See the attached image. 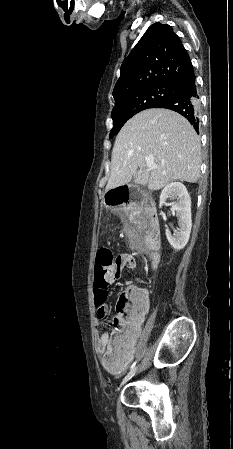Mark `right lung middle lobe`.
<instances>
[{"label":"right lung middle lobe","mask_w":233,"mask_h":449,"mask_svg":"<svg viewBox=\"0 0 233 449\" xmlns=\"http://www.w3.org/2000/svg\"><path fill=\"white\" fill-rule=\"evenodd\" d=\"M174 92L170 85L159 84L149 86L115 99L112 110L114 127L109 138L115 136L125 122L138 112L156 107L159 103L173 96Z\"/></svg>","instance_id":"obj_1"}]
</instances>
